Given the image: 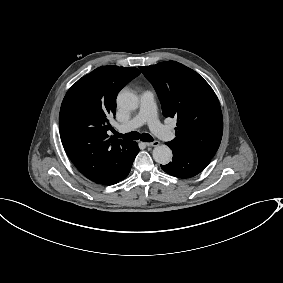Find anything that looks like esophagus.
I'll use <instances>...</instances> for the list:
<instances>
[{
  "mask_svg": "<svg viewBox=\"0 0 283 283\" xmlns=\"http://www.w3.org/2000/svg\"><path fill=\"white\" fill-rule=\"evenodd\" d=\"M160 145V142L159 141H152V142H147L146 143V146H152V147H156Z\"/></svg>",
  "mask_w": 283,
  "mask_h": 283,
  "instance_id": "obj_1",
  "label": "esophagus"
}]
</instances>
